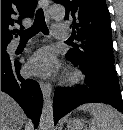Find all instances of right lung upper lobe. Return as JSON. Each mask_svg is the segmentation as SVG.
Wrapping results in <instances>:
<instances>
[{"label":"right lung upper lobe","instance_id":"right-lung-upper-lobe-1","mask_svg":"<svg viewBox=\"0 0 123 130\" xmlns=\"http://www.w3.org/2000/svg\"><path fill=\"white\" fill-rule=\"evenodd\" d=\"M36 5L37 0H1V44L10 43L14 24L21 25L23 18L32 16Z\"/></svg>","mask_w":123,"mask_h":130}]
</instances>
